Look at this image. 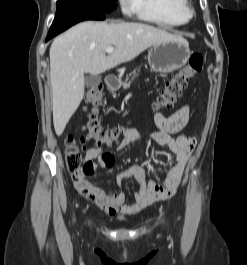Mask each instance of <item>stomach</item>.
<instances>
[{"label": "stomach", "instance_id": "1", "mask_svg": "<svg viewBox=\"0 0 247 265\" xmlns=\"http://www.w3.org/2000/svg\"><path fill=\"white\" fill-rule=\"evenodd\" d=\"M190 57L185 39L164 41L153 45L148 54L151 69L159 73H171L183 67Z\"/></svg>", "mask_w": 247, "mask_h": 265}]
</instances>
